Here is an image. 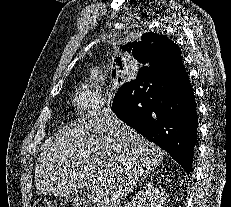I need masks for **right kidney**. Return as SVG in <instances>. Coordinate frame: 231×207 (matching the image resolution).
I'll return each mask as SVG.
<instances>
[{
    "label": "right kidney",
    "instance_id": "1",
    "mask_svg": "<svg viewBox=\"0 0 231 207\" xmlns=\"http://www.w3.org/2000/svg\"><path fill=\"white\" fill-rule=\"evenodd\" d=\"M164 193L151 184L138 191L124 207H163Z\"/></svg>",
    "mask_w": 231,
    "mask_h": 207
}]
</instances>
